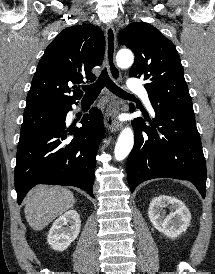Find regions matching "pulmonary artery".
I'll return each mask as SVG.
<instances>
[{
  "label": "pulmonary artery",
  "instance_id": "pulmonary-artery-1",
  "mask_svg": "<svg viewBox=\"0 0 215 274\" xmlns=\"http://www.w3.org/2000/svg\"><path fill=\"white\" fill-rule=\"evenodd\" d=\"M128 88L133 91L137 92L142 96L143 102L148 108H151L150 100L147 91L145 88L136 80H131L128 84Z\"/></svg>",
  "mask_w": 215,
  "mask_h": 274
}]
</instances>
